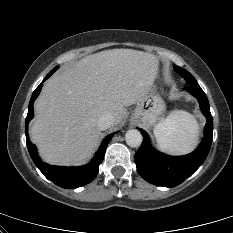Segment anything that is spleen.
I'll list each match as a JSON object with an SVG mask.
<instances>
[{"instance_id":"obj_1","label":"spleen","mask_w":233,"mask_h":233,"mask_svg":"<svg viewBox=\"0 0 233 233\" xmlns=\"http://www.w3.org/2000/svg\"><path fill=\"white\" fill-rule=\"evenodd\" d=\"M199 126L186 111H174L154 128L158 147L165 153L180 155L194 149L198 141Z\"/></svg>"}]
</instances>
